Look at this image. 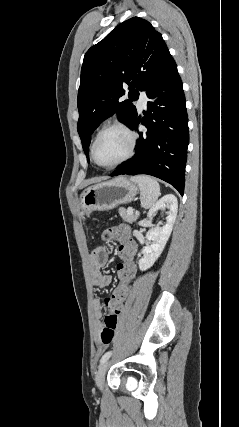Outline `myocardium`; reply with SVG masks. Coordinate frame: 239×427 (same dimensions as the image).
Returning <instances> with one entry per match:
<instances>
[{
  "label": "myocardium",
  "instance_id": "obj_1",
  "mask_svg": "<svg viewBox=\"0 0 239 427\" xmlns=\"http://www.w3.org/2000/svg\"><path fill=\"white\" fill-rule=\"evenodd\" d=\"M112 129H120L128 135L129 141H130L129 149H128V152L126 153V155L123 158H121L119 161H117L111 165H103V164H100L95 157V148H96V145H97L99 139L101 138V136L105 132L112 130ZM136 146H137V133L130 126H128L126 123L121 122V121H115V122H112V123L104 126L103 128H101L100 131L96 134V136L93 140V143L91 145L90 155H91L93 162L98 167L109 170V169H114V168L124 164L129 159H131L135 153Z\"/></svg>",
  "mask_w": 239,
  "mask_h": 427
}]
</instances>
